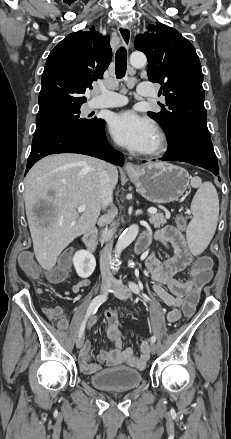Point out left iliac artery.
I'll return each mask as SVG.
<instances>
[{"instance_id":"left-iliac-artery-1","label":"left iliac artery","mask_w":231,"mask_h":439,"mask_svg":"<svg viewBox=\"0 0 231 439\" xmlns=\"http://www.w3.org/2000/svg\"><path fill=\"white\" fill-rule=\"evenodd\" d=\"M129 287H130V289L135 293V294H139V287H138V285L136 284V283H134V282H132V281H129ZM150 340H151V342L152 343H154L155 341H156V337L155 336H152L151 338H150Z\"/></svg>"}]
</instances>
